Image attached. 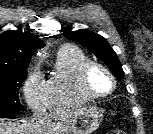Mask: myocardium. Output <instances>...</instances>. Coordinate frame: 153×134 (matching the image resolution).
I'll list each match as a JSON object with an SVG mask.
<instances>
[{"instance_id": "obj_1", "label": "myocardium", "mask_w": 153, "mask_h": 134, "mask_svg": "<svg viewBox=\"0 0 153 134\" xmlns=\"http://www.w3.org/2000/svg\"><path fill=\"white\" fill-rule=\"evenodd\" d=\"M95 69H99L103 71L110 78L112 87L108 92L95 93L90 89L89 77H90L91 72ZM78 83H79V88L81 92L90 99H100V98H104V97L111 95L115 91L116 85H117L115 76L106 66L102 65L101 63H98L96 61H91V60L85 63L81 67L79 74H78Z\"/></svg>"}]
</instances>
